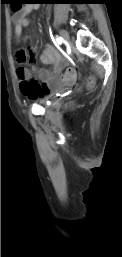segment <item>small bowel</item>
<instances>
[{
	"label": "small bowel",
	"mask_w": 122,
	"mask_h": 257,
	"mask_svg": "<svg viewBox=\"0 0 122 257\" xmlns=\"http://www.w3.org/2000/svg\"><path fill=\"white\" fill-rule=\"evenodd\" d=\"M35 9L36 6L26 5L22 10L17 11L13 15V31L17 42L20 41L23 28L30 23L28 19L29 14ZM40 59L43 64L52 66V70L38 69L32 73L29 69L22 66L16 70L20 81L21 93L29 99H42L49 96L51 84H57L63 79L62 70L66 65V61L53 45L47 44L45 46Z\"/></svg>",
	"instance_id": "small-bowel-1"
}]
</instances>
